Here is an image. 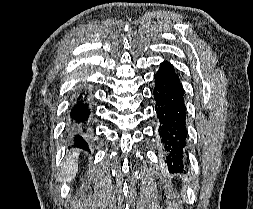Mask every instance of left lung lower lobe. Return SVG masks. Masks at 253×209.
Wrapping results in <instances>:
<instances>
[{
	"label": "left lung lower lobe",
	"mask_w": 253,
	"mask_h": 209,
	"mask_svg": "<svg viewBox=\"0 0 253 209\" xmlns=\"http://www.w3.org/2000/svg\"><path fill=\"white\" fill-rule=\"evenodd\" d=\"M155 112L159 122L158 134L166 153L169 171H183L186 147V107L184 89L173 65L164 61L154 76Z\"/></svg>",
	"instance_id": "1"
}]
</instances>
